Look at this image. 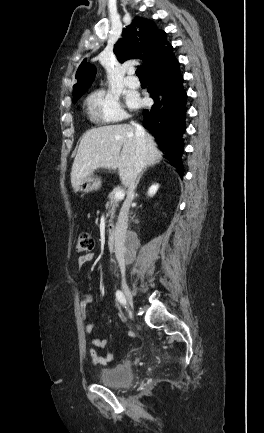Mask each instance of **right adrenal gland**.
<instances>
[{
	"label": "right adrenal gland",
	"instance_id": "2a0ac1e0",
	"mask_svg": "<svg viewBox=\"0 0 264 433\" xmlns=\"http://www.w3.org/2000/svg\"><path fill=\"white\" fill-rule=\"evenodd\" d=\"M143 173H144V172H141V173L139 174V176H138V178H137V180H136L135 188H136L137 185L139 184V181H140V179H141Z\"/></svg>",
	"mask_w": 264,
	"mask_h": 433
}]
</instances>
